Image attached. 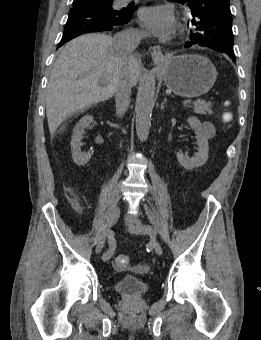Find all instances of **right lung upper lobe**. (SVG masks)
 I'll list each match as a JSON object with an SVG mask.
<instances>
[{"label":"right lung upper lobe","instance_id":"obj_1","mask_svg":"<svg viewBox=\"0 0 261 340\" xmlns=\"http://www.w3.org/2000/svg\"><path fill=\"white\" fill-rule=\"evenodd\" d=\"M77 1H91V0H74V2H77Z\"/></svg>","mask_w":261,"mask_h":340}]
</instances>
